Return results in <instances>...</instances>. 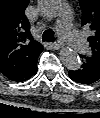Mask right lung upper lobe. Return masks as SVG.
Listing matches in <instances>:
<instances>
[{
    "label": "right lung upper lobe",
    "mask_w": 100,
    "mask_h": 118,
    "mask_svg": "<svg viewBox=\"0 0 100 118\" xmlns=\"http://www.w3.org/2000/svg\"><path fill=\"white\" fill-rule=\"evenodd\" d=\"M30 0H0V72L17 80L43 47L33 40L25 16Z\"/></svg>",
    "instance_id": "right-lung-upper-lobe-1"
}]
</instances>
